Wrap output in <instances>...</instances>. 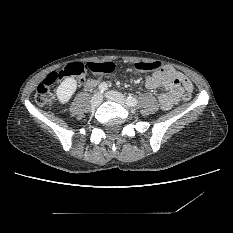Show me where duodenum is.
Listing matches in <instances>:
<instances>
[{"mask_svg": "<svg viewBox=\"0 0 233 233\" xmlns=\"http://www.w3.org/2000/svg\"><path fill=\"white\" fill-rule=\"evenodd\" d=\"M96 80H88L86 83H85V87L86 88H91V87H93L95 84H96Z\"/></svg>", "mask_w": 233, "mask_h": 233, "instance_id": "1", "label": "duodenum"}]
</instances>
